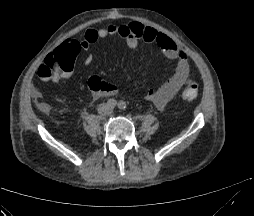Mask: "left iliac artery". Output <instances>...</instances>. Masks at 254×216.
Here are the masks:
<instances>
[{
  "label": "left iliac artery",
  "mask_w": 254,
  "mask_h": 216,
  "mask_svg": "<svg viewBox=\"0 0 254 216\" xmlns=\"http://www.w3.org/2000/svg\"><path fill=\"white\" fill-rule=\"evenodd\" d=\"M118 108H119L120 110H125V109H126V103H125L124 101H120V102L118 103Z\"/></svg>",
  "instance_id": "1"
}]
</instances>
